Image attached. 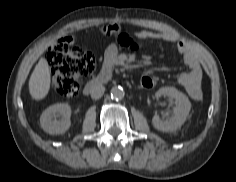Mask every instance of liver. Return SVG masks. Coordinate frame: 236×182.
Here are the masks:
<instances>
[{"mask_svg":"<svg viewBox=\"0 0 236 182\" xmlns=\"http://www.w3.org/2000/svg\"><path fill=\"white\" fill-rule=\"evenodd\" d=\"M51 72L45 58H40L29 79V91L34 100L45 99L50 90Z\"/></svg>","mask_w":236,"mask_h":182,"instance_id":"liver-1","label":"liver"}]
</instances>
